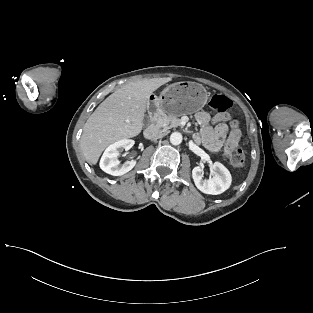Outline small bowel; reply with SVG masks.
Listing matches in <instances>:
<instances>
[{
	"instance_id": "small-bowel-1",
	"label": "small bowel",
	"mask_w": 313,
	"mask_h": 313,
	"mask_svg": "<svg viewBox=\"0 0 313 313\" xmlns=\"http://www.w3.org/2000/svg\"><path fill=\"white\" fill-rule=\"evenodd\" d=\"M196 120L200 125V132L197 134V140L201 141L209 150L218 151L225 143L232 141L234 144H238L240 138V130L238 124L235 121H231V117L227 113H219L214 117L201 111L196 115ZM231 123V131L227 122ZM229 133V135H228Z\"/></svg>"
}]
</instances>
